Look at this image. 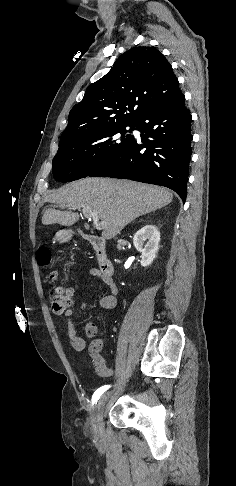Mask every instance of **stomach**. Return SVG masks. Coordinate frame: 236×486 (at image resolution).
<instances>
[{"instance_id": "1", "label": "stomach", "mask_w": 236, "mask_h": 486, "mask_svg": "<svg viewBox=\"0 0 236 486\" xmlns=\"http://www.w3.org/2000/svg\"><path fill=\"white\" fill-rule=\"evenodd\" d=\"M73 232L71 230H60L55 234V240L59 243H66L71 240Z\"/></svg>"}]
</instances>
